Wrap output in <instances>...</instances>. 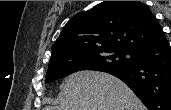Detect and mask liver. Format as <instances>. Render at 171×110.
<instances>
[{"label":"liver","mask_w":171,"mask_h":110,"mask_svg":"<svg viewBox=\"0 0 171 110\" xmlns=\"http://www.w3.org/2000/svg\"><path fill=\"white\" fill-rule=\"evenodd\" d=\"M61 89L64 98L60 105L44 110H146L125 83L104 72L73 73Z\"/></svg>","instance_id":"liver-1"}]
</instances>
